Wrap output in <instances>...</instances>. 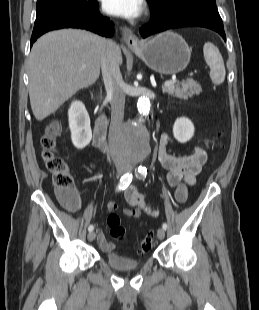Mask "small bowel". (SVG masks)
Wrapping results in <instances>:
<instances>
[{
    "mask_svg": "<svg viewBox=\"0 0 259 310\" xmlns=\"http://www.w3.org/2000/svg\"><path fill=\"white\" fill-rule=\"evenodd\" d=\"M206 141L210 142V136H206ZM169 142L168 134H163L158 149V159L160 164L168 171L166 184L175 189V199L179 203H184L188 196V187L195 185L196 177L206 162L207 155L204 149L195 147L193 153L185 156L169 154L167 145ZM124 197L128 207L124 209V214L129 218H138L143 213L156 217L158 212L152 209L145 201L144 196L138 192L135 186L128 185L124 189ZM119 205L111 201L107 204L109 211H116ZM97 243L105 252H112L115 243L109 241L104 233L97 229Z\"/></svg>",
    "mask_w": 259,
    "mask_h": 310,
    "instance_id": "c3829d8e",
    "label": "small bowel"
}]
</instances>
